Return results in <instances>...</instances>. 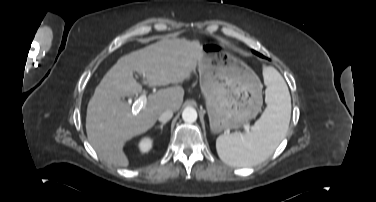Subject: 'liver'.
<instances>
[{
    "mask_svg": "<svg viewBox=\"0 0 376 202\" xmlns=\"http://www.w3.org/2000/svg\"><path fill=\"white\" fill-rule=\"evenodd\" d=\"M202 54L198 40L164 38L157 43L122 56L105 74L89 100L87 137L97 154L109 164L127 167L123 151L126 141L154 126L165 110L178 111L183 102L181 86L150 94L146 105L133 109L121 97L142 92L133 73L143 75L150 86H166L189 79Z\"/></svg>",
    "mask_w": 376,
    "mask_h": 202,
    "instance_id": "obj_1",
    "label": "liver"
}]
</instances>
